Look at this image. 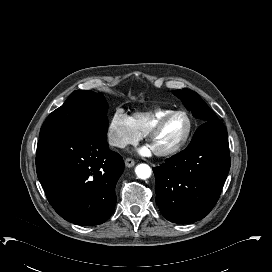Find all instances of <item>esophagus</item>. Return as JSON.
<instances>
[{"mask_svg": "<svg viewBox=\"0 0 272 272\" xmlns=\"http://www.w3.org/2000/svg\"><path fill=\"white\" fill-rule=\"evenodd\" d=\"M124 162L125 166L128 168L133 167L135 165V161L131 158H126Z\"/></svg>", "mask_w": 272, "mask_h": 272, "instance_id": "1", "label": "esophagus"}]
</instances>
